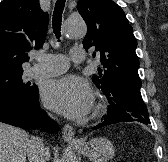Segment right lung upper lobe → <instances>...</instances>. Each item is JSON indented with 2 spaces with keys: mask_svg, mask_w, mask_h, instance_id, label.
<instances>
[{
  "mask_svg": "<svg viewBox=\"0 0 168 162\" xmlns=\"http://www.w3.org/2000/svg\"><path fill=\"white\" fill-rule=\"evenodd\" d=\"M48 13L38 0H3L0 3V75L23 72L27 52L43 46Z\"/></svg>",
  "mask_w": 168,
  "mask_h": 162,
  "instance_id": "obj_1",
  "label": "right lung upper lobe"
}]
</instances>
